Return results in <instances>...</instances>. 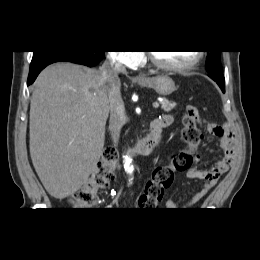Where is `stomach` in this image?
<instances>
[{"label": "stomach", "instance_id": "1", "mask_svg": "<svg viewBox=\"0 0 260 260\" xmlns=\"http://www.w3.org/2000/svg\"><path fill=\"white\" fill-rule=\"evenodd\" d=\"M139 85L155 90L161 96H168L176 90L175 82L168 75H157L138 81Z\"/></svg>", "mask_w": 260, "mask_h": 260}]
</instances>
